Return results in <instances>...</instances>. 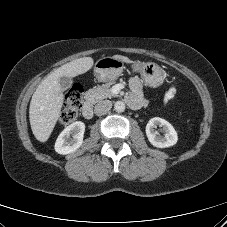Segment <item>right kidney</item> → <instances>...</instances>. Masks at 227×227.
I'll use <instances>...</instances> for the list:
<instances>
[{
	"instance_id": "1",
	"label": "right kidney",
	"mask_w": 227,
	"mask_h": 227,
	"mask_svg": "<svg viewBox=\"0 0 227 227\" xmlns=\"http://www.w3.org/2000/svg\"><path fill=\"white\" fill-rule=\"evenodd\" d=\"M85 124L76 121L67 126L58 136L55 142V151L66 155L75 152L83 143Z\"/></svg>"
}]
</instances>
